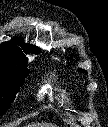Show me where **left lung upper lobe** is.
Wrapping results in <instances>:
<instances>
[{
	"label": "left lung upper lobe",
	"instance_id": "1",
	"mask_svg": "<svg viewBox=\"0 0 108 127\" xmlns=\"http://www.w3.org/2000/svg\"><path fill=\"white\" fill-rule=\"evenodd\" d=\"M80 72H85L83 69H79Z\"/></svg>",
	"mask_w": 108,
	"mask_h": 127
}]
</instances>
